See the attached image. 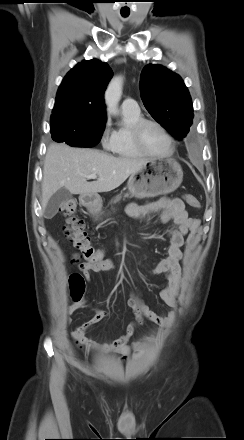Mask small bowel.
Masks as SVG:
<instances>
[{
	"mask_svg": "<svg viewBox=\"0 0 244 440\" xmlns=\"http://www.w3.org/2000/svg\"><path fill=\"white\" fill-rule=\"evenodd\" d=\"M127 211L130 216L140 220L148 219L151 214L161 212V223L172 221L174 224L166 231V234L170 238V244L167 248L166 256L157 262L151 269L153 274H163L167 279V285L160 291L159 297L171 309V311L167 317H160L143 303L139 295L132 293L128 299V305L134 311L135 320L127 326L124 335L103 344H99L87 337V330L100 323L109 315L108 312L100 309H94V316L89 321L79 325L72 333V337L76 343L85 351L90 352L93 350H99L101 352H117L121 355V361L126 360L131 350L140 345L139 342H134L129 345L128 341L134 334L135 328L141 325L144 319H148L163 328H169L174 322V310L177 307L176 297L179 290L181 274L179 264L182 257L181 247L184 243V237L193 223V219L189 217L184 203L177 198H160L156 201L145 204H130ZM79 268L88 281L91 279L92 272L102 270L89 262L81 263ZM87 307L88 306L83 301H78L69 306L68 313L71 315L76 311Z\"/></svg>",
	"mask_w": 244,
	"mask_h": 440,
	"instance_id": "obj_1",
	"label": "small bowel"
}]
</instances>
